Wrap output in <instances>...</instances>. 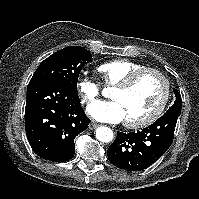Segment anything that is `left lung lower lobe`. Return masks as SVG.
Segmentation results:
<instances>
[{
    "instance_id": "0a47b994",
    "label": "left lung lower lobe",
    "mask_w": 199,
    "mask_h": 199,
    "mask_svg": "<svg viewBox=\"0 0 199 199\" xmlns=\"http://www.w3.org/2000/svg\"><path fill=\"white\" fill-rule=\"evenodd\" d=\"M179 115L164 114L137 132H118L107 150L109 161L120 169L140 171L155 163L170 147Z\"/></svg>"
}]
</instances>
